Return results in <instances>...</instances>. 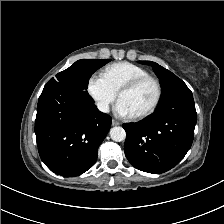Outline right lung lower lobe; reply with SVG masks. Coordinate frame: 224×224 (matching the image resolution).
Instances as JSON below:
<instances>
[{
	"mask_svg": "<svg viewBox=\"0 0 224 224\" xmlns=\"http://www.w3.org/2000/svg\"><path fill=\"white\" fill-rule=\"evenodd\" d=\"M83 91L64 85H45L37 106L35 134L39 155L54 173L78 176L97 159L99 145L111 127Z\"/></svg>",
	"mask_w": 224,
	"mask_h": 224,
	"instance_id": "obj_1",
	"label": "right lung lower lobe"
}]
</instances>
